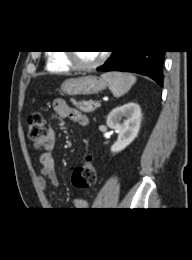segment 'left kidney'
I'll return each instance as SVG.
<instances>
[{"instance_id":"left-kidney-1","label":"left kidney","mask_w":192,"mask_h":260,"mask_svg":"<svg viewBox=\"0 0 192 260\" xmlns=\"http://www.w3.org/2000/svg\"><path fill=\"white\" fill-rule=\"evenodd\" d=\"M141 117V108L134 102L116 107L110 112L107 117V126L118 134L111 152H120L134 141L140 129Z\"/></svg>"}]
</instances>
